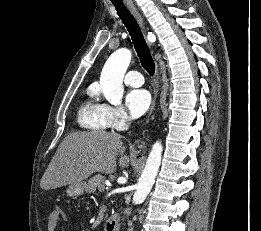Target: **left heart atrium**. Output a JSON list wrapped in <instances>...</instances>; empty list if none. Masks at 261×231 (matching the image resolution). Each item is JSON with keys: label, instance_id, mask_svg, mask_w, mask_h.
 Instances as JSON below:
<instances>
[{"label": "left heart atrium", "instance_id": "obj_1", "mask_svg": "<svg viewBox=\"0 0 261 231\" xmlns=\"http://www.w3.org/2000/svg\"><path fill=\"white\" fill-rule=\"evenodd\" d=\"M125 102L131 114L139 117L150 108L151 96L145 89H134L127 93Z\"/></svg>", "mask_w": 261, "mask_h": 231}]
</instances>
